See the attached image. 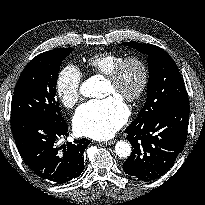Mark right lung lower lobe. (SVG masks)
<instances>
[{"label":"right lung lower lobe","instance_id":"98d812e1","mask_svg":"<svg viewBox=\"0 0 205 205\" xmlns=\"http://www.w3.org/2000/svg\"><path fill=\"white\" fill-rule=\"evenodd\" d=\"M11 130L22 159L40 178L63 184L84 170L83 153L90 141L82 138L58 147V139L68 136L64 120L53 123L32 116L14 117Z\"/></svg>","mask_w":205,"mask_h":205}]
</instances>
